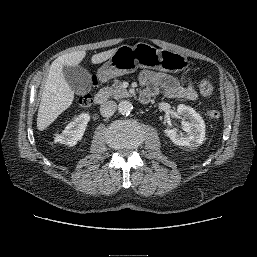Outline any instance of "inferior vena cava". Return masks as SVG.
Segmentation results:
<instances>
[{"label": "inferior vena cava", "mask_w": 257, "mask_h": 257, "mask_svg": "<svg viewBox=\"0 0 257 257\" xmlns=\"http://www.w3.org/2000/svg\"><path fill=\"white\" fill-rule=\"evenodd\" d=\"M117 108V104L114 101H107L101 105L100 113L103 117H111Z\"/></svg>", "instance_id": "602c4592"}]
</instances>
